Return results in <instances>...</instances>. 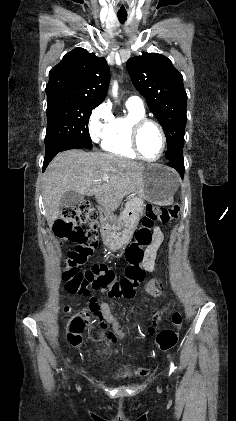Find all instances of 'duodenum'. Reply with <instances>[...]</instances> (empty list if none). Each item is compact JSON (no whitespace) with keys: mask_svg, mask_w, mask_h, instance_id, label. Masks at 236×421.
Wrapping results in <instances>:
<instances>
[{"mask_svg":"<svg viewBox=\"0 0 236 421\" xmlns=\"http://www.w3.org/2000/svg\"><path fill=\"white\" fill-rule=\"evenodd\" d=\"M80 208H81V211L85 214V215H87V216H92V215H95L96 214V212H97V207H96V205H94L92 202H90V201H83L81 204H80Z\"/></svg>","mask_w":236,"mask_h":421,"instance_id":"duodenum-1","label":"duodenum"}]
</instances>
